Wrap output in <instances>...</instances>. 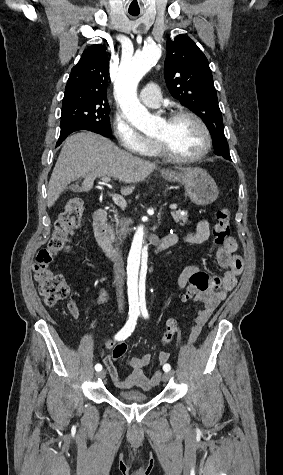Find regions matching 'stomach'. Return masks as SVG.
Wrapping results in <instances>:
<instances>
[{"instance_id":"0dacf381","label":"stomach","mask_w":283,"mask_h":475,"mask_svg":"<svg viewBox=\"0 0 283 475\" xmlns=\"http://www.w3.org/2000/svg\"><path fill=\"white\" fill-rule=\"evenodd\" d=\"M164 180L168 182H178L185 188L187 196H189L193 204L197 206H208L218 198L219 190L211 176L202 168H185L180 172H161Z\"/></svg>"}]
</instances>
